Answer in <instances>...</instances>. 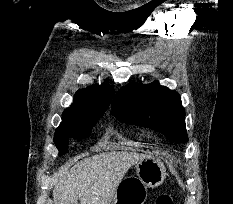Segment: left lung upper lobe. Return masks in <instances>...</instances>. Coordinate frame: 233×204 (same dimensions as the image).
I'll list each match as a JSON object with an SVG mask.
<instances>
[{
	"instance_id": "5c2ea615",
	"label": "left lung upper lobe",
	"mask_w": 233,
	"mask_h": 204,
	"mask_svg": "<svg viewBox=\"0 0 233 204\" xmlns=\"http://www.w3.org/2000/svg\"><path fill=\"white\" fill-rule=\"evenodd\" d=\"M111 108L121 122L148 127L174 141H188L179 94L158 81L148 85L132 82L122 87Z\"/></svg>"
}]
</instances>
